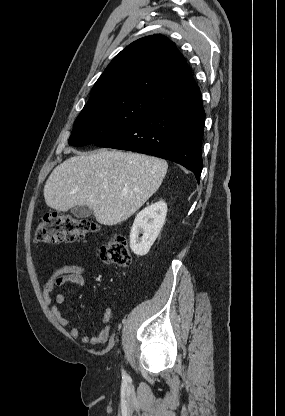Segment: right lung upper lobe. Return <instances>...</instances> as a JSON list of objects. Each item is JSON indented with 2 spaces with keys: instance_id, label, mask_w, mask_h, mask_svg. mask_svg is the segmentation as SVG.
<instances>
[{
  "instance_id": "cb5924a9",
  "label": "right lung upper lobe",
  "mask_w": 285,
  "mask_h": 416,
  "mask_svg": "<svg viewBox=\"0 0 285 416\" xmlns=\"http://www.w3.org/2000/svg\"><path fill=\"white\" fill-rule=\"evenodd\" d=\"M199 93L175 44L156 34L131 43L110 62L84 107L129 96L163 107Z\"/></svg>"
}]
</instances>
